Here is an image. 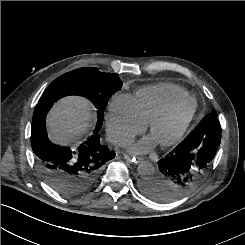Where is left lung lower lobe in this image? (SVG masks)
Segmentation results:
<instances>
[{"mask_svg":"<svg viewBox=\"0 0 245 245\" xmlns=\"http://www.w3.org/2000/svg\"><path fill=\"white\" fill-rule=\"evenodd\" d=\"M221 141L217 117L207 114L168 155L158 161V172L142 190L156 200L175 198L193 186L214 159Z\"/></svg>","mask_w":245,"mask_h":245,"instance_id":"obj_1","label":"left lung lower lobe"}]
</instances>
